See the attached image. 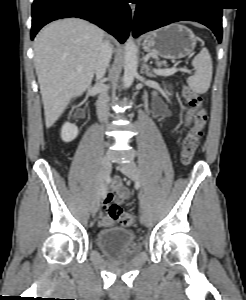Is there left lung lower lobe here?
Segmentation results:
<instances>
[{
  "instance_id": "obj_1",
  "label": "left lung lower lobe",
  "mask_w": 246,
  "mask_h": 300,
  "mask_svg": "<svg viewBox=\"0 0 246 300\" xmlns=\"http://www.w3.org/2000/svg\"><path fill=\"white\" fill-rule=\"evenodd\" d=\"M133 35L181 20L202 23L222 39V7L218 0H137Z\"/></svg>"
}]
</instances>
